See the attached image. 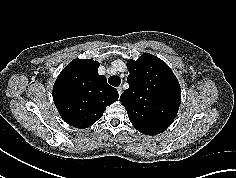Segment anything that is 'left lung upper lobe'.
Listing matches in <instances>:
<instances>
[{
	"instance_id": "1",
	"label": "left lung upper lobe",
	"mask_w": 236,
	"mask_h": 178,
	"mask_svg": "<svg viewBox=\"0 0 236 178\" xmlns=\"http://www.w3.org/2000/svg\"><path fill=\"white\" fill-rule=\"evenodd\" d=\"M129 89L120 102L133 126L145 135H157L174 121L181 102L179 82L158 57L144 53L127 62Z\"/></svg>"
}]
</instances>
